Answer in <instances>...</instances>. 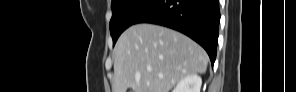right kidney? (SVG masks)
Returning <instances> with one entry per match:
<instances>
[{"label":"right kidney","instance_id":"right-kidney-1","mask_svg":"<svg viewBox=\"0 0 296 92\" xmlns=\"http://www.w3.org/2000/svg\"><path fill=\"white\" fill-rule=\"evenodd\" d=\"M202 79L199 75H188L181 79L172 92H200Z\"/></svg>","mask_w":296,"mask_h":92}]
</instances>
